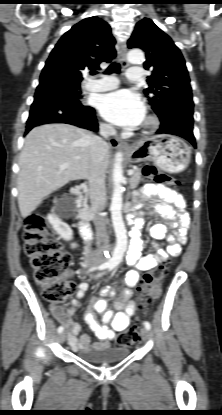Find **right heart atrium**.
<instances>
[{
    "label": "right heart atrium",
    "mask_w": 222,
    "mask_h": 415,
    "mask_svg": "<svg viewBox=\"0 0 222 415\" xmlns=\"http://www.w3.org/2000/svg\"><path fill=\"white\" fill-rule=\"evenodd\" d=\"M102 129L107 131V130H109V127L107 125H102Z\"/></svg>",
    "instance_id": "1"
}]
</instances>
